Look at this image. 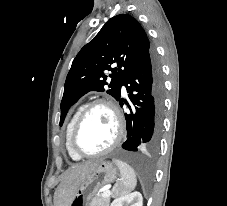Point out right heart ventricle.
I'll return each mask as SVG.
<instances>
[{
	"mask_svg": "<svg viewBox=\"0 0 227 206\" xmlns=\"http://www.w3.org/2000/svg\"><path fill=\"white\" fill-rule=\"evenodd\" d=\"M84 107H85V104H81V105L77 106V108L74 110L71 118L69 119V122L66 127V148L68 150L69 155L74 160H79V159H81V157L72 151V149L70 147V135H71L72 128L77 120V117L79 116L80 112L82 111V109Z\"/></svg>",
	"mask_w": 227,
	"mask_h": 206,
	"instance_id": "obj_1",
	"label": "right heart ventricle"
}]
</instances>
